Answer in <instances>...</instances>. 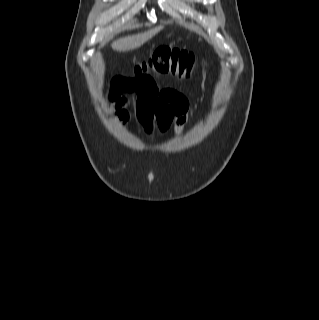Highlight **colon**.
<instances>
[{"label": "colon", "instance_id": "colon-1", "mask_svg": "<svg viewBox=\"0 0 319 320\" xmlns=\"http://www.w3.org/2000/svg\"><path fill=\"white\" fill-rule=\"evenodd\" d=\"M195 64L196 59L193 53L180 49L161 47L156 49L148 59L136 65V78L134 80L115 77L112 82L116 87L126 86L145 77L149 72L172 75L178 78H189L193 73ZM137 118L144 132L150 137L165 133L169 128V126L163 125L148 113H139L137 114Z\"/></svg>", "mask_w": 319, "mask_h": 320}]
</instances>
